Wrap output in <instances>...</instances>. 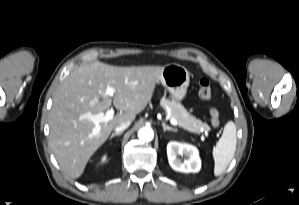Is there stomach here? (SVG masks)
<instances>
[{
  "label": "stomach",
  "mask_w": 299,
  "mask_h": 205,
  "mask_svg": "<svg viewBox=\"0 0 299 205\" xmlns=\"http://www.w3.org/2000/svg\"><path fill=\"white\" fill-rule=\"evenodd\" d=\"M160 82L176 101H181L185 98L190 83L189 71L182 65L168 64L163 67Z\"/></svg>",
  "instance_id": "0dacf381"
}]
</instances>
